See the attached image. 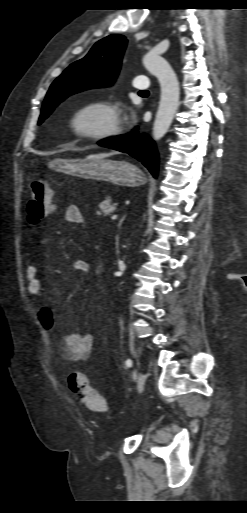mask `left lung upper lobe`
<instances>
[{
	"label": "left lung upper lobe",
	"mask_w": 247,
	"mask_h": 513,
	"mask_svg": "<svg viewBox=\"0 0 247 513\" xmlns=\"http://www.w3.org/2000/svg\"><path fill=\"white\" fill-rule=\"evenodd\" d=\"M126 45L127 39L123 35H109L95 43L83 59L64 70L47 92L38 124H41L68 96L83 90L111 85L119 73Z\"/></svg>",
	"instance_id": "left-lung-upper-lobe-1"
}]
</instances>
